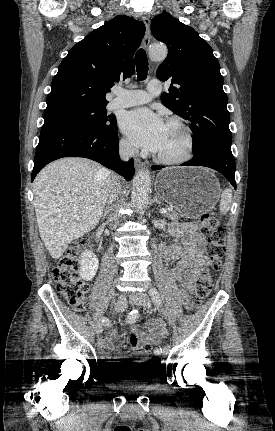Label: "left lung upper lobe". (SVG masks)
Returning a JSON list of instances; mask_svg holds the SVG:
<instances>
[{
	"mask_svg": "<svg viewBox=\"0 0 275 431\" xmlns=\"http://www.w3.org/2000/svg\"><path fill=\"white\" fill-rule=\"evenodd\" d=\"M151 28L153 36L168 47L157 78L176 85H170L161 101L189 122L194 152L212 145H231L227 95L210 45L192 27L166 12L153 19Z\"/></svg>",
	"mask_w": 275,
	"mask_h": 431,
	"instance_id": "1",
	"label": "left lung upper lobe"
}]
</instances>
